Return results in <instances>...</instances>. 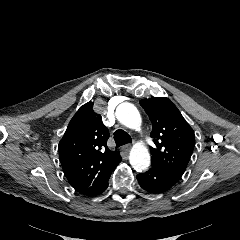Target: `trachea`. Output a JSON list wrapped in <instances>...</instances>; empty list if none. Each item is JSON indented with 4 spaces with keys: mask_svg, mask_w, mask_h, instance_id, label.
<instances>
[{
    "mask_svg": "<svg viewBox=\"0 0 240 240\" xmlns=\"http://www.w3.org/2000/svg\"><path fill=\"white\" fill-rule=\"evenodd\" d=\"M114 139L116 142V146L120 147L122 145L131 143V137L129 136L128 133H126L124 130L122 129H117L114 132Z\"/></svg>",
    "mask_w": 240,
    "mask_h": 240,
    "instance_id": "obj_1",
    "label": "trachea"
}]
</instances>
